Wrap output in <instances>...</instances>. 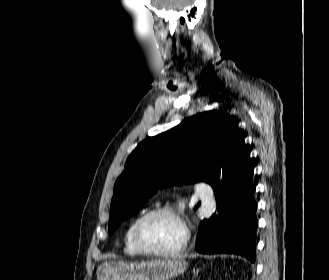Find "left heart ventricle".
Listing matches in <instances>:
<instances>
[{
    "mask_svg": "<svg viewBox=\"0 0 329 280\" xmlns=\"http://www.w3.org/2000/svg\"><path fill=\"white\" fill-rule=\"evenodd\" d=\"M143 243L156 250H168L176 247L182 239V229L178 221L167 214L150 218L142 227Z\"/></svg>",
    "mask_w": 329,
    "mask_h": 280,
    "instance_id": "b2bd125f",
    "label": "left heart ventricle"
}]
</instances>
